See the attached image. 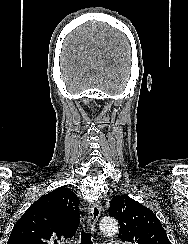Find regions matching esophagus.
<instances>
[{
	"mask_svg": "<svg viewBox=\"0 0 188 244\" xmlns=\"http://www.w3.org/2000/svg\"><path fill=\"white\" fill-rule=\"evenodd\" d=\"M101 215V205L99 202H93L89 204L88 207V218L86 221V229L87 231H94L95 224L98 221Z\"/></svg>",
	"mask_w": 188,
	"mask_h": 244,
	"instance_id": "obj_1",
	"label": "esophagus"
}]
</instances>
